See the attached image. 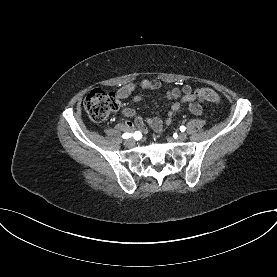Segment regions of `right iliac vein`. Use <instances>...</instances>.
Segmentation results:
<instances>
[{
	"label": "right iliac vein",
	"mask_w": 277,
	"mask_h": 277,
	"mask_svg": "<svg viewBox=\"0 0 277 277\" xmlns=\"http://www.w3.org/2000/svg\"><path fill=\"white\" fill-rule=\"evenodd\" d=\"M134 144H135V142H134V140H132V139H127V140L124 141V145H125L126 147H128V148L133 147Z\"/></svg>",
	"instance_id": "obj_1"
}]
</instances>
